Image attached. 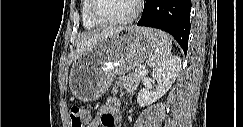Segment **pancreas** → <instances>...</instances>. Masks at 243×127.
Listing matches in <instances>:
<instances>
[{
	"mask_svg": "<svg viewBox=\"0 0 243 127\" xmlns=\"http://www.w3.org/2000/svg\"><path fill=\"white\" fill-rule=\"evenodd\" d=\"M143 77L144 74L140 69H137L126 76H122L120 80L123 81V85L125 86L126 90L133 92Z\"/></svg>",
	"mask_w": 243,
	"mask_h": 127,
	"instance_id": "cf45deb5",
	"label": "pancreas"
}]
</instances>
